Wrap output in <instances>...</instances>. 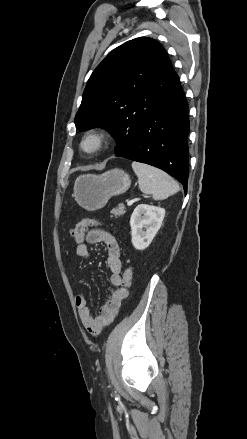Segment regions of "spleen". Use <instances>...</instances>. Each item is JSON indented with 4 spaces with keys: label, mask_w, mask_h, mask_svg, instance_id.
<instances>
[{
    "label": "spleen",
    "mask_w": 247,
    "mask_h": 439,
    "mask_svg": "<svg viewBox=\"0 0 247 439\" xmlns=\"http://www.w3.org/2000/svg\"><path fill=\"white\" fill-rule=\"evenodd\" d=\"M132 168L138 177L139 189L152 194L154 200H164L179 191L178 183L156 167L134 161Z\"/></svg>",
    "instance_id": "spleen-1"
}]
</instances>
